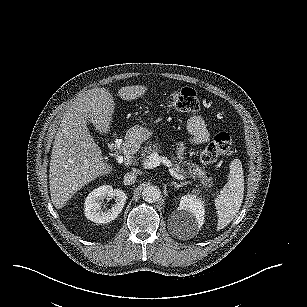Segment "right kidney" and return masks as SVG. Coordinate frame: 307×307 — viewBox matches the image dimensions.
I'll return each instance as SVG.
<instances>
[{
	"instance_id": "right-kidney-1",
	"label": "right kidney",
	"mask_w": 307,
	"mask_h": 307,
	"mask_svg": "<svg viewBox=\"0 0 307 307\" xmlns=\"http://www.w3.org/2000/svg\"><path fill=\"white\" fill-rule=\"evenodd\" d=\"M104 199H114L115 203L105 211L101 205ZM127 195L121 189H113L110 185H102L91 191L85 199V217L98 224L109 223L117 218L125 206Z\"/></svg>"
}]
</instances>
